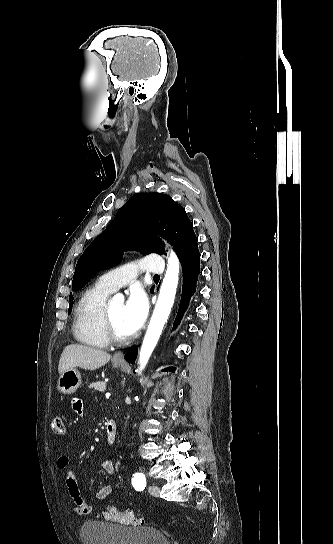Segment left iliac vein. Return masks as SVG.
Instances as JSON below:
<instances>
[{
  "mask_svg": "<svg viewBox=\"0 0 333 544\" xmlns=\"http://www.w3.org/2000/svg\"><path fill=\"white\" fill-rule=\"evenodd\" d=\"M148 491L152 496L157 497L159 495L160 489L157 485H150Z\"/></svg>",
  "mask_w": 333,
  "mask_h": 544,
  "instance_id": "1",
  "label": "left iliac vein"
}]
</instances>
